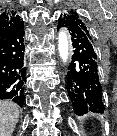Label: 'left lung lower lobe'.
I'll list each match as a JSON object with an SVG mask.
<instances>
[{"instance_id":"obj_1","label":"left lung lower lobe","mask_w":117,"mask_h":136,"mask_svg":"<svg viewBox=\"0 0 117 136\" xmlns=\"http://www.w3.org/2000/svg\"><path fill=\"white\" fill-rule=\"evenodd\" d=\"M60 28L68 31L73 47L67 67L66 88L75 113H103L105 107L94 41L83 30L70 25L65 15L58 19L57 29Z\"/></svg>"}]
</instances>
